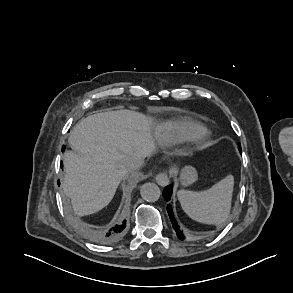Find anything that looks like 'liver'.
Segmentation results:
<instances>
[{
    "label": "liver",
    "mask_w": 293,
    "mask_h": 293,
    "mask_svg": "<svg viewBox=\"0 0 293 293\" xmlns=\"http://www.w3.org/2000/svg\"><path fill=\"white\" fill-rule=\"evenodd\" d=\"M68 142L74 152L64 154L63 189L79 216L107 206L129 172L128 163L155 150L151 120L129 110L82 119L71 131Z\"/></svg>",
    "instance_id": "obj_1"
}]
</instances>
